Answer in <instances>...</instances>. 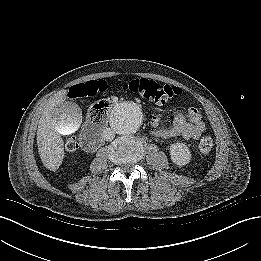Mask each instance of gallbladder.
<instances>
[{
  "instance_id": "1",
  "label": "gallbladder",
  "mask_w": 261,
  "mask_h": 261,
  "mask_svg": "<svg viewBox=\"0 0 261 261\" xmlns=\"http://www.w3.org/2000/svg\"><path fill=\"white\" fill-rule=\"evenodd\" d=\"M51 120L58 133L71 135L82 125L83 111L74 102L65 101L53 109Z\"/></svg>"
}]
</instances>
